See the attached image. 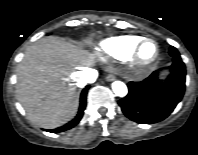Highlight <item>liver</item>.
<instances>
[{
	"instance_id": "6515ba94",
	"label": "liver",
	"mask_w": 198,
	"mask_h": 155,
	"mask_svg": "<svg viewBox=\"0 0 198 155\" xmlns=\"http://www.w3.org/2000/svg\"><path fill=\"white\" fill-rule=\"evenodd\" d=\"M92 64L80 47L59 39L43 40L32 46L18 66L17 97L36 124L55 128L77 111L76 70Z\"/></svg>"
}]
</instances>
